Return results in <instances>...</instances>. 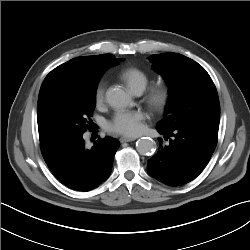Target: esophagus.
Masks as SVG:
<instances>
[{"label": "esophagus", "instance_id": "34e87169", "mask_svg": "<svg viewBox=\"0 0 250 250\" xmlns=\"http://www.w3.org/2000/svg\"><path fill=\"white\" fill-rule=\"evenodd\" d=\"M135 140V138H130V137H121L120 138V142H132V141H134Z\"/></svg>", "mask_w": 250, "mask_h": 250}]
</instances>
